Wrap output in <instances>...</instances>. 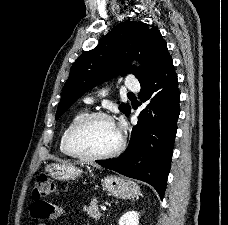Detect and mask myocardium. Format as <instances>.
<instances>
[{
    "label": "myocardium",
    "mask_w": 228,
    "mask_h": 225,
    "mask_svg": "<svg viewBox=\"0 0 228 225\" xmlns=\"http://www.w3.org/2000/svg\"><path fill=\"white\" fill-rule=\"evenodd\" d=\"M94 119H104L107 121L112 122L114 125V120L112 119L111 116H109L106 113L103 112H89L86 113L85 115H83L82 117H80L70 128L68 135H67V149L68 151L77 158H81V159H87V160H102V159H107V158H111L114 157L116 155H118L125 147V140L123 135L118 131L119 133V143L118 145L106 152V153H102V154H89V153H85L80 151L76 145H75V137L77 135V133L80 131L81 128H83L86 124H88L90 121L94 120Z\"/></svg>",
    "instance_id": "f54148a6"
}]
</instances>
